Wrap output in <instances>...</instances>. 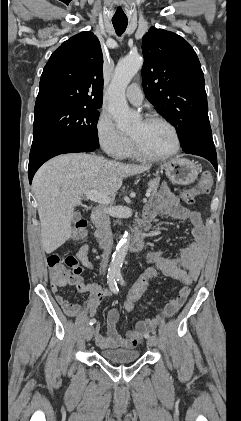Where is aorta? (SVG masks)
Masks as SVG:
<instances>
[{
  "mask_svg": "<svg viewBox=\"0 0 241 421\" xmlns=\"http://www.w3.org/2000/svg\"><path fill=\"white\" fill-rule=\"evenodd\" d=\"M143 58L140 55H129L120 60L115 68L112 82L109 86L108 108L117 128L129 129L139 120V116L130 111L125 98V90L134 75L142 67ZM130 245V234L125 232L112 257V266L119 268L127 254Z\"/></svg>",
  "mask_w": 241,
  "mask_h": 421,
  "instance_id": "1",
  "label": "aorta"
}]
</instances>
